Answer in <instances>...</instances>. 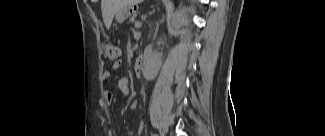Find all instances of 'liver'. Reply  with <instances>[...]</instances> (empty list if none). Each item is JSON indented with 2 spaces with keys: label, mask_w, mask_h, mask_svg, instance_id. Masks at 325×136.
Returning a JSON list of instances; mask_svg holds the SVG:
<instances>
[{
  "label": "liver",
  "mask_w": 325,
  "mask_h": 136,
  "mask_svg": "<svg viewBox=\"0 0 325 136\" xmlns=\"http://www.w3.org/2000/svg\"><path fill=\"white\" fill-rule=\"evenodd\" d=\"M141 0H101L102 17L107 29H110L114 15L127 5L139 3Z\"/></svg>",
  "instance_id": "liver-1"
}]
</instances>
